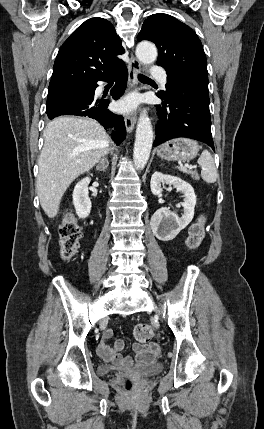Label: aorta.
I'll list each match as a JSON object with an SVG mask.
<instances>
[{"mask_svg": "<svg viewBox=\"0 0 264 429\" xmlns=\"http://www.w3.org/2000/svg\"><path fill=\"white\" fill-rule=\"evenodd\" d=\"M136 56L143 65L154 63L157 58V48L149 41H141L136 47ZM153 144V129L146 110H143L136 128L133 150V160L137 169L141 170L148 162Z\"/></svg>", "mask_w": 264, "mask_h": 429, "instance_id": "obj_1", "label": "aorta"}]
</instances>
